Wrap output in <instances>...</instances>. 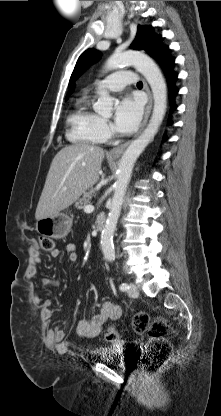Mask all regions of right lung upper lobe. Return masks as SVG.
<instances>
[{
    "instance_id": "obj_1",
    "label": "right lung upper lobe",
    "mask_w": 221,
    "mask_h": 416,
    "mask_svg": "<svg viewBox=\"0 0 221 416\" xmlns=\"http://www.w3.org/2000/svg\"><path fill=\"white\" fill-rule=\"evenodd\" d=\"M73 90H74V88H72V89L69 91V93H68V95H67V96H69V95L73 92Z\"/></svg>"
}]
</instances>
